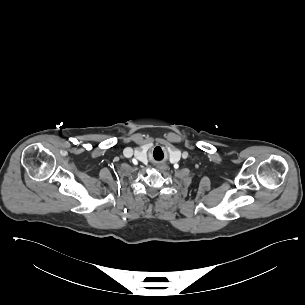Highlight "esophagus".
Instances as JSON below:
<instances>
[{"instance_id": "obj_1", "label": "esophagus", "mask_w": 305, "mask_h": 305, "mask_svg": "<svg viewBox=\"0 0 305 305\" xmlns=\"http://www.w3.org/2000/svg\"><path fill=\"white\" fill-rule=\"evenodd\" d=\"M157 168H158V169H166V168H167V165L164 164V163H162V164H159V165L157 166Z\"/></svg>"}]
</instances>
